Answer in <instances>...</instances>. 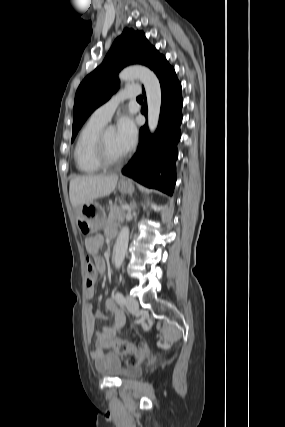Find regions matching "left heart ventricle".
<instances>
[{
	"mask_svg": "<svg viewBox=\"0 0 285 427\" xmlns=\"http://www.w3.org/2000/svg\"><path fill=\"white\" fill-rule=\"evenodd\" d=\"M105 141L108 154L111 158H119L126 154L117 141L116 131L114 129L106 130Z\"/></svg>",
	"mask_w": 285,
	"mask_h": 427,
	"instance_id": "b2bd125f",
	"label": "left heart ventricle"
}]
</instances>
